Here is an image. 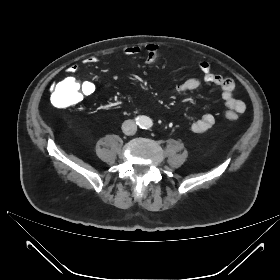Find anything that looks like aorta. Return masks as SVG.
<instances>
[{
  "label": "aorta",
  "mask_w": 280,
  "mask_h": 280,
  "mask_svg": "<svg viewBox=\"0 0 280 280\" xmlns=\"http://www.w3.org/2000/svg\"><path fill=\"white\" fill-rule=\"evenodd\" d=\"M140 126L142 127V128H149V127H151L152 126V120L149 118V117H146V116H144V117H142L141 119H140Z\"/></svg>",
  "instance_id": "aorta-1"
}]
</instances>
